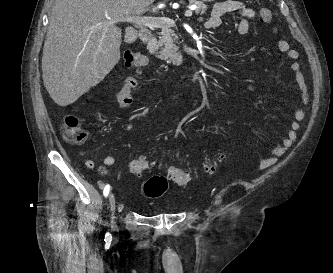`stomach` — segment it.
I'll return each instance as SVG.
<instances>
[{"label": "stomach", "instance_id": "1", "mask_svg": "<svg viewBox=\"0 0 333 273\" xmlns=\"http://www.w3.org/2000/svg\"><path fill=\"white\" fill-rule=\"evenodd\" d=\"M204 2H213L214 0H203Z\"/></svg>", "mask_w": 333, "mask_h": 273}]
</instances>
